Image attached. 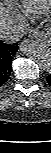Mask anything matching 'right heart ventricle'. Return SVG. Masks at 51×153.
I'll list each match as a JSON object with an SVG mask.
<instances>
[{"label": "right heart ventricle", "instance_id": "1", "mask_svg": "<svg viewBox=\"0 0 51 153\" xmlns=\"http://www.w3.org/2000/svg\"><path fill=\"white\" fill-rule=\"evenodd\" d=\"M21 4L25 13L41 16L49 10L51 0H21Z\"/></svg>", "mask_w": 51, "mask_h": 153}]
</instances>
